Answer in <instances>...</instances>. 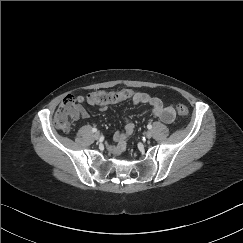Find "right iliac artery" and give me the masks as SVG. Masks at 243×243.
Instances as JSON below:
<instances>
[{"label":"right iliac artery","mask_w":243,"mask_h":243,"mask_svg":"<svg viewBox=\"0 0 243 243\" xmlns=\"http://www.w3.org/2000/svg\"><path fill=\"white\" fill-rule=\"evenodd\" d=\"M92 132H97V129L96 128H92Z\"/></svg>","instance_id":"right-iliac-artery-1"}]
</instances>
